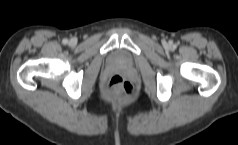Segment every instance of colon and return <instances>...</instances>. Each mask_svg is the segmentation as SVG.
<instances>
[{"label":"colon","instance_id":"1","mask_svg":"<svg viewBox=\"0 0 238 145\" xmlns=\"http://www.w3.org/2000/svg\"><path fill=\"white\" fill-rule=\"evenodd\" d=\"M107 91L111 97L121 101L131 97L134 89L129 81L121 76L115 75L108 81Z\"/></svg>","mask_w":238,"mask_h":145}]
</instances>
